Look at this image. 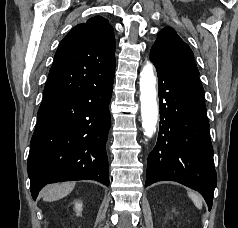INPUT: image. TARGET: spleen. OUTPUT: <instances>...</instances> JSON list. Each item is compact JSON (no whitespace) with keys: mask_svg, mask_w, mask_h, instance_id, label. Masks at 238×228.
I'll use <instances>...</instances> for the list:
<instances>
[{"mask_svg":"<svg viewBox=\"0 0 238 228\" xmlns=\"http://www.w3.org/2000/svg\"><path fill=\"white\" fill-rule=\"evenodd\" d=\"M188 196L191 198V200L193 201L194 205L198 209H202L203 199H202V197L198 193L188 192Z\"/></svg>","mask_w":238,"mask_h":228,"instance_id":"3e777b00","label":"spleen"}]
</instances>
